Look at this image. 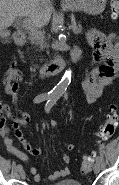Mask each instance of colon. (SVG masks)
I'll use <instances>...</instances> for the list:
<instances>
[{
  "label": "colon",
  "instance_id": "5ec220e1",
  "mask_svg": "<svg viewBox=\"0 0 119 185\" xmlns=\"http://www.w3.org/2000/svg\"><path fill=\"white\" fill-rule=\"evenodd\" d=\"M111 13L112 18L116 19L119 15V0H111ZM118 126V117L116 113V107L111 106L110 113L108 114L106 120L100 128V139L101 141L109 140L114 134ZM96 152H93L91 155L84 157L81 163L82 173H89L93 167L94 155Z\"/></svg>",
  "mask_w": 119,
  "mask_h": 185
}]
</instances>
